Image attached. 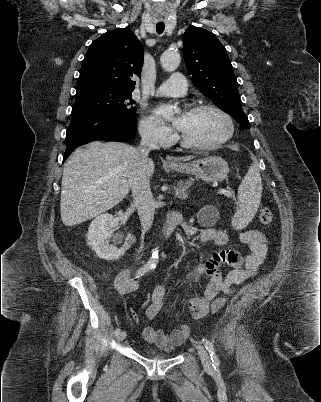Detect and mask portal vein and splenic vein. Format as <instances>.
Segmentation results:
<instances>
[{
	"label": "portal vein and splenic vein",
	"mask_w": 321,
	"mask_h": 402,
	"mask_svg": "<svg viewBox=\"0 0 321 402\" xmlns=\"http://www.w3.org/2000/svg\"><path fill=\"white\" fill-rule=\"evenodd\" d=\"M219 193H220V194H223V195H225V196H227V197H232V194H231V192H230L229 189H220V190H219Z\"/></svg>",
	"instance_id": "1"
}]
</instances>
